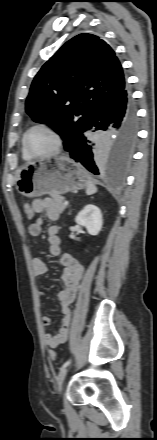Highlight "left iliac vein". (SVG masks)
Listing matches in <instances>:
<instances>
[{
	"instance_id": "4c4485c4",
	"label": "left iliac vein",
	"mask_w": 157,
	"mask_h": 440,
	"mask_svg": "<svg viewBox=\"0 0 157 440\" xmlns=\"http://www.w3.org/2000/svg\"><path fill=\"white\" fill-rule=\"evenodd\" d=\"M67 374V368H63L60 370L58 377H57V387L58 391H61L62 384L64 382L65 376Z\"/></svg>"
}]
</instances>
